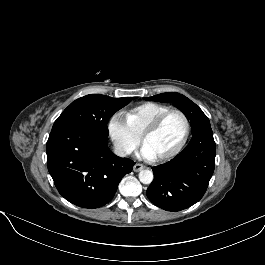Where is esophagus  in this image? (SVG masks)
Instances as JSON below:
<instances>
[{"label": "esophagus", "instance_id": "1", "mask_svg": "<svg viewBox=\"0 0 265 265\" xmlns=\"http://www.w3.org/2000/svg\"><path fill=\"white\" fill-rule=\"evenodd\" d=\"M144 169V166L140 163H136L134 166H133V170L135 172H140Z\"/></svg>", "mask_w": 265, "mask_h": 265}]
</instances>
